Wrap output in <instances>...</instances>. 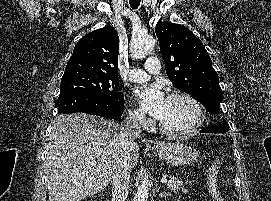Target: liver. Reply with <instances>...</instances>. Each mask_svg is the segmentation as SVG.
Here are the masks:
<instances>
[{
  "mask_svg": "<svg viewBox=\"0 0 271 201\" xmlns=\"http://www.w3.org/2000/svg\"><path fill=\"white\" fill-rule=\"evenodd\" d=\"M118 126L88 114L55 118L45 163L49 201H81L102 191L121 157L128 156L131 167L137 165L139 146L133 141L125 150Z\"/></svg>",
  "mask_w": 271,
  "mask_h": 201,
  "instance_id": "obj_1",
  "label": "liver"
}]
</instances>
